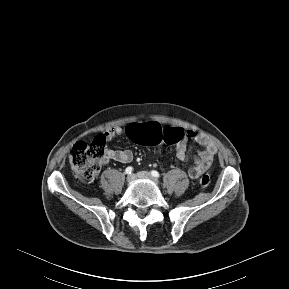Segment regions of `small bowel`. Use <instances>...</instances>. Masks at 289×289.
Here are the masks:
<instances>
[{
  "label": "small bowel",
  "instance_id": "c3829d8e",
  "mask_svg": "<svg viewBox=\"0 0 289 289\" xmlns=\"http://www.w3.org/2000/svg\"><path fill=\"white\" fill-rule=\"evenodd\" d=\"M122 132V127L115 126L105 130L102 136L105 141L109 142ZM188 140H193L202 147L194 158V165L188 171L190 178L197 179L210 168L213 158L216 155L217 148L207 136L189 130L186 132L184 139L179 141L176 145V156L181 161L187 159ZM110 160L120 163H129L133 160V152L129 149H107L102 162L105 164Z\"/></svg>",
  "mask_w": 289,
  "mask_h": 289
}]
</instances>
